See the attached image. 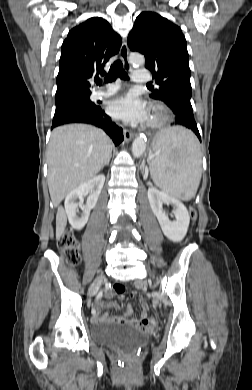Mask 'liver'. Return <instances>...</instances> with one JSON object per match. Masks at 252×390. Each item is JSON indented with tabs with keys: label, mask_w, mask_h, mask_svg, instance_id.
<instances>
[{
	"label": "liver",
	"mask_w": 252,
	"mask_h": 390,
	"mask_svg": "<svg viewBox=\"0 0 252 390\" xmlns=\"http://www.w3.org/2000/svg\"><path fill=\"white\" fill-rule=\"evenodd\" d=\"M112 153V141L101 129L71 124L52 131L47 150L48 187L56 216V239L64 233L67 219L61 201L75 188L94 178Z\"/></svg>",
	"instance_id": "1"
}]
</instances>
